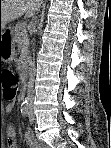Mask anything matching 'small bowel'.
I'll use <instances>...</instances> for the list:
<instances>
[{
    "label": "small bowel",
    "mask_w": 111,
    "mask_h": 148,
    "mask_svg": "<svg viewBox=\"0 0 111 148\" xmlns=\"http://www.w3.org/2000/svg\"><path fill=\"white\" fill-rule=\"evenodd\" d=\"M15 104L14 103H10L9 105H7L6 107V111L7 112H12L14 110ZM15 137V130L12 126H9L6 129V138L8 141V146L9 148H17L18 146L16 145V142L14 140ZM25 140L26 143L29 147L31 148H40V144L37 142L34 133L31 130H27L25 132Z\"/></svg>",
    "instance_id": "small-bowel-1"
}]
</instances>
